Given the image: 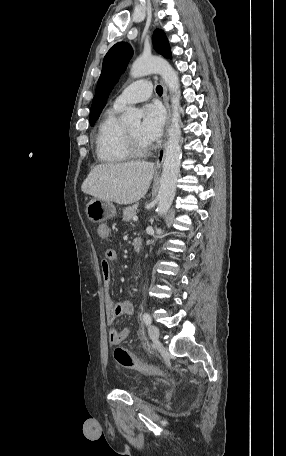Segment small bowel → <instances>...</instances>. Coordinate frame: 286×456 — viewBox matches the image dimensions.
<instances>
[{"label": "small bowel", "instance_id": "1", "mask_svg": "<svg viewBox=\"0 0 286 456\" xmlns=\"http://www.w3.org/2000/svg\"><path fill=\"white\" fill-rule=\"evenodd\" d=\"M98 236L102 239H107L110 236V228L102 224L97 229ZM117 253L114 249H107L100 264L101 276L104 286V300H105V316L109 325H112L116 318L119 316L132 315L134 313V305L127 300L114 302L110 296L111 287V268L110 263L116 260ZM129 335V329L122 330L111 328L109 330V341L113 345L120 344Z\"/></svg>", "mask_w": 286, "mask_h": 456}]
</instances>
